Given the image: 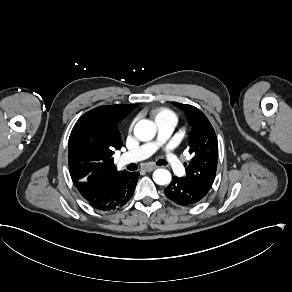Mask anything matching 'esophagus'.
Wrapping results in <instances>:
<instances>
[{
    "instance_id": "esophagus-1",
    "label": "esophagus",
    "mask_w": 292,
    "mask_h": 292,
    "mask_svg": "<svg viewBox=\"0 0 292 292\" xmlns=\"http://www.w3.org/2000/svg\"><path fill=\"white\" fill-rule=\"evenodd\" d=\"M157 167L156 166H153V165H145L143 167V169L146 171V172H151L153 170H155Z\"/></svg>"
}]
</instances>
